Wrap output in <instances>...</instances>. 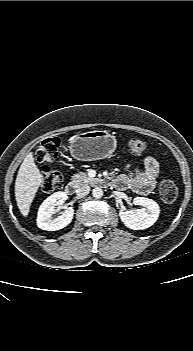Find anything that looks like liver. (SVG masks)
Returning <instances> with one entry per match:
<instances>
[{"instance_id": "1", "label": "liver", "mask_w": 193, "mask_h": 351, "mask_svg": "<svg viewBox=\"0 0 193 351\" xmlns=\"http://www.w3.org/2000/svg\"><path fill=\"white\" fill-rule=\"evenodd\" d=\"M43 180L33 154L30 152L24 158L15 181V199L24 217L28 216L31 203Z\"/></svg>"}]
</instances>
